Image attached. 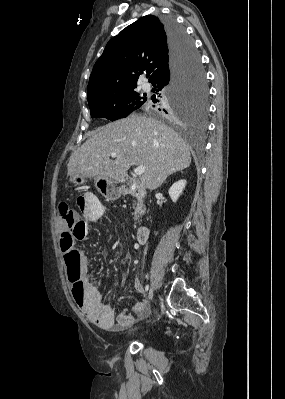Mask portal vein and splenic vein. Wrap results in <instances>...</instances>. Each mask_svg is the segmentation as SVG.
Returning <instances> with one entry per match:
<instances>
[{"mask_svg": "<svg viewBox=\"0 0 285 399\" xmlns=\"http://www.w3.org/2000/svg\"><path fill=\"white\" fill-rule=\"evenodd\" d=\"M110 156H111L112 158H115V157H117V153H116V152H112V153L110 154ZM144 171H145V167H144V166H137V167L134 169V173H135V175H137V176L142 175V174L144 173Z\"/></svg>", "mask_w": 285, "mask_h": 399, "instance_id": "18ae733b", "label": "portal vein and splenic vein"}]
</instances>
